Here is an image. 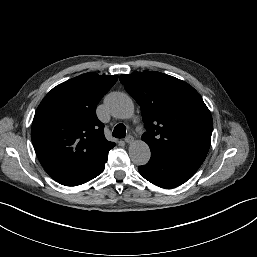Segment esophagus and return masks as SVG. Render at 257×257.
I'll return each instance as SVG.
<instances>
[{"instance_id":"obj_1","label":"esophagus","mask_w":257,"mask_h":257,"mask_svg":"<svg viewBox=\"0 0 257 257\" xmlns=\"http://www.w3.org/2000/svg\"><path fill=\"white\" fill-rule=\"evenodd\" d=\"M133 141H134V138H133V136H131V135H128V136L125 138V142H126L127 144H131Z\"/></svg>"}]
</instances>
